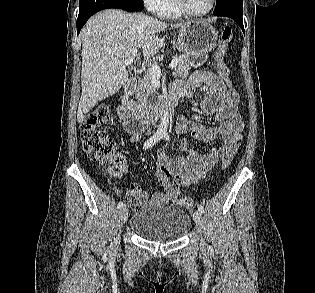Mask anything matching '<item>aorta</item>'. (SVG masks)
Here are the masks:
<instances>
[{
    "mask_svg": "<svg viewBox=\"0 0 315 293\" xmlns=\"http://www.w3.org/2000/svg\"><path fill=\"white\" fill-rule=\"evenodd\" d=\"M169 124V112L166 110L161 118V122L159 125V130L162 132H166Z\"/></svg>",
    "mask_w": 315,
    "mask_h": 293,
    "instance_id": "obj_1",
    "label": "aorta"
}]
</instances>
